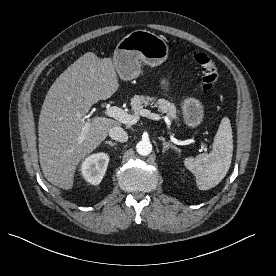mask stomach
<instances>
[{"instance_id":"obj_1","label":"stomach","mask_w":276,"mask_h":276,"mask_svg":"<svg viewBox=\"0 0 276 276\" xmlns=\"http://www.w3.org/2000/svg\"><path fill=\"white\" fill-rule=\"evenodd\" d=\"M169 55L166 41L150 31L135 30L116 45L113 63L119 77L131 81L141 73V63L155 67L165 62ZM184 123L195 128L204 118V107L200 100L186 97L181 103Z\"/></svg>"}]
</instances>
